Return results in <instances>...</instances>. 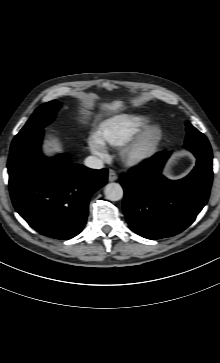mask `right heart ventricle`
I'll list each match as a JSON object with an SVG mask.
<instances>
[{
  "label": "right heart ventricle",
  "mask_w": 220,
  "mask_h": 363,
  "mask_svg": "<svg viewBox=\"0 0 220 363\" xmlns=\"http://www.w3.org/2000/svg\"><path fill=\"white\" fill-rule=\"evenodd\" d=\"M149 122L147 117L138 114H119L100 125L98 136L108 145L120 147L146 128Z\"/></svg>",
  "instance_id": "right-heart-ventricle-1"
}]
</instances>
